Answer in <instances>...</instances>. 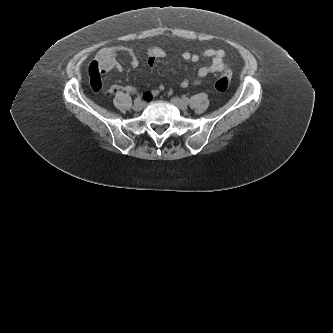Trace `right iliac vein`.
Instances as JSON below:
<instances>
[{"instance_id":"right-iliac-vein-1","label":"right iliac vein","mask_w":333,"mask_h":333,"mask_svg":"<svg viewBox=\"0 0 333 333\" xmlns=\"http://www.w3.org/2000/svg\"><path fill=\"white\" fill-rule=\"evenodd\" d=\"M145 107V103L143 101H135L133 109L135 111H141Z\"/></svg>"}]
</instances>
